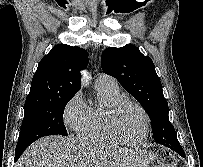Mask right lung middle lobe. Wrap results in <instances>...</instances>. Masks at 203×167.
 I'll return each instance as SVG.
<instances>
[{"instance_id":"dd1d6c3e","label":"right lung middle lobe","mask_w":203,"mask_h":167,"mask_svg":"<svg viewBox=\"0 0 203 167\" xmlns=\"http://www.w3.org/2000/svg\"><path fill=\"white\" fill-rule=\"evenodd\" d=\"M72 97L25 103V113L16 150L27 147L44 136L57 134L67 136L63 124V113Z\"/></svg>"}]
</instances>
